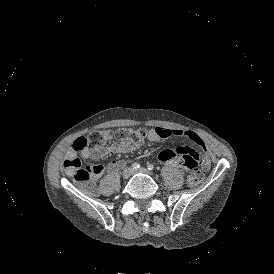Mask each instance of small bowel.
<instances>
[{"instance_id": "c3829d8e", "label": "small bowel", "mask_w": 274, "mask_h": 274, "mask_svg": "<svg viewBox=\"0 0 274 274\" xmlns=\"http://www.w3.org/2000/svg\"><path fill=\"white\" fill-rule=\"evenodd\" d=\"M169 137H183L188 141L195 144L198 149L204 153L203 157L199 161V155L197 152L191 150L188 147L175 148L173 146L156 151L155 156L159 160H163L169 167L180 168L182 166L190 169L197 170L202 166L208 169L211 165L210 157L207 154V146L204 140L195 132L190 130L181 129H169L166 127H154L148 130L147 139L150 142H156L161 139ZM138 146L137 143L116 141L110 145H98L92 147H84L80 150V154L85 159L98 160L107 155L108 153H126L134 150ZM119 164L114 162L108 166V168H116ZM103 167H101V173Z\"/></svg>"}]
</instances>
